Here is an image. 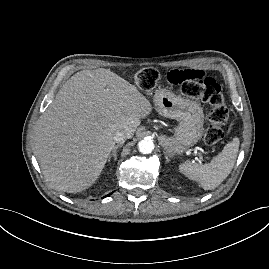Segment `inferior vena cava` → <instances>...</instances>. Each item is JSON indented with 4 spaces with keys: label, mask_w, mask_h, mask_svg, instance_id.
I'll list each match as a JSON object with an SVG mask.
<instances>
[{
    "label": "inferior vena cava",
    "mask_w": 269,
    "mask_h": 269,
    "mask_svg": "<svg viewBox=\"0 0 269 269\" xmlns=\"http://www.w3.org/2000/svg\"><path fill=\"white\" fill-rule=\"evenodd\" d=\"M114 141L116 142H124L128 139V133L125 130H117L114 135Z\"/></svg>",
    "instance_id": "obj_1"
}]
</instances>
